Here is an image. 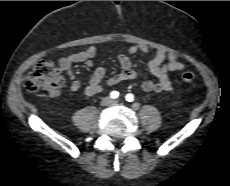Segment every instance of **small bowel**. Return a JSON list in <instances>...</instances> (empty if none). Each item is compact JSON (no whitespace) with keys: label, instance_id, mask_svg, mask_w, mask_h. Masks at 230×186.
<instances>
[{"label":"small bowel","instance_id":"1","mask_svg":"<svg viewBox=\"0 0 230 186\" xmlns=\"http://www.w3.org/2000/svg\"><path fill=\"white\" fill-rule=\"evenodd\" d=\"M138 52L148 53L149 47L146 45H132L125 52L118 55V62L121 71L108 77L105 80L107 86H115L126 80H134L138 74L133 68L132 56ZM97 55V49L93 46L86 47L80 51L70 53L59 59L61 69L66 73L70 80L69 89L77 91L81 88V82L76 77L72 66L75 63H84L87 67H94V58ZM149 72L156 78V81L146 80L142 83V89L145 92H169L174 89L169 73L181 71L184 63L174 53L158 49L148 64ZM106 75V68L96 67L91 75L89 82L84 87V93L87 96L99 94L102 89V81ZM59 94V93H58ZM56 94V95H58Z\"/></svg>","mask_w":230,"mask_h":186}]
</instances>
